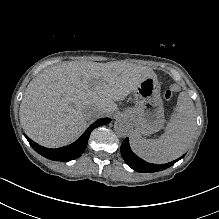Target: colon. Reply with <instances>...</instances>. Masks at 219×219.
<instances>
[{
  "instance_id": "obj_1",
  "label": "colon",
  "mask_w": 219,
  "mask_h": 219,
  "mask_svg": "<svg viewBox=\"0 0 219 219\" xmlns=\"http://www.w3.org/2000/svg\"><path fill=\"white\" fill-rule=\"evenodd\" d=\"M180 90V87L176 84L171 85L163 92V98L165 100L172 99Z\"/></svg>"
}]
</instances>
